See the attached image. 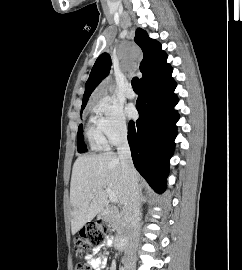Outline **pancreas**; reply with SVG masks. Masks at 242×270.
I'll return each mask as SVG.
<instances>
[{
    "instance_id": "pancreas-1",
    "label": "pancreas",
    "mask_w": 242,
    "mask_h": 270,
    "mask_svg": "<svg viewBox=\"0 0 242 270\" xmlns=\"http://www.w3.org/2000/svg\"><path fill=\"white\" fill-rule=\"evenodd\" d=\"M106 221L118 233L119 236L123 235L126 231V223L123 217V212L117 208H111L110 212L105 217Z\"/></svg>"
}]
</instances>
